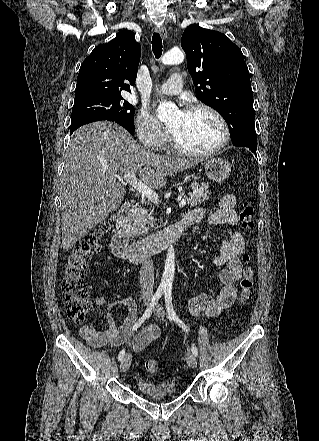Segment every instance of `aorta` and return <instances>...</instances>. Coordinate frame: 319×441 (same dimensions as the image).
Here are the masks:
<instances>
[{
    "label": "aorta",
    "instance_id": "762f6f07",
    "mask_svg": "<svg viewBox=\"0 0 319 441\" xmlns=\"http://www.w3.org/2000/svg\"><path fill=\"white\" fill-rule=\"evenodd\" d=\"M184 53L180 49H172L165 53L161 61L164 65L180 64L184 61ZM174 103L163 102L159 105L157 110V117L160 121H169L173 112L176 110ZM175 272V254L172 246L168 248L165 267L161 280V287H172Z\"/></svg>",
    "mask_w": 319,
    "mask_h": 441
}]
</instances>
